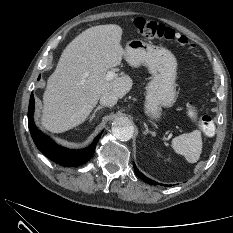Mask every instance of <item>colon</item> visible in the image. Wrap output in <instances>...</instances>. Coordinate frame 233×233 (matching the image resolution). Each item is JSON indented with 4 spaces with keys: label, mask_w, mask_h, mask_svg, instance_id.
Returning <instances> with one entry per match:
<instances>
[{
    "label": "colon",
    "mask_w": 233,
    "mask_h": 233,
    "mask_svg": "<svg viewBox=\"0 0 233 233\" xmlns=\"http://www.w3.org/2000/svg\"><path fill=\"white\" fill-rule=\"evenodd\" d=\"M134 24L137 31L146 38L173 41L187 49L194 48V44H192L186 36L175 32V30L165 26L164 24L141 17L136 18ZM199 126L202 132L207 136H212L215 132V124L213 119L208 115L200 117Z\"/></svg>",
    "instance_id": "1"
}]
</instances>
